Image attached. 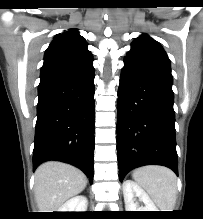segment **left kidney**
Instances as JSON below:
<instances>
[{"mask_svg":"<svg viewBox=\"0 0 203 219\" xmlns=\"http://www.w3.org/2000/svg\"><path fill=\"white\" fill-rule=\"evenodd\" d=\"M123 194L126 211H158L148 194L134 181L123 182ZM135 197L142 201L145 206H139Z\"/></svg>","mask_w":203,"mask_h":219,"instance_id":"obj_1","label":"left kidney"}]
</instances>
